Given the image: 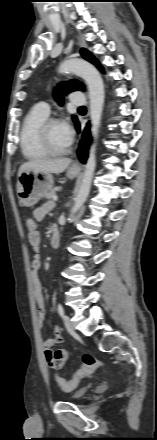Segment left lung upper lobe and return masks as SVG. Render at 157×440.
Segmentation results:
<instances>
[{
	"mask_svg": "<svg viewBox=\"0 0 157 440\" xmlns=\"http://www.w3.org/2000/svg\"><path fill=\"white\" fill-rule=\"evenodd\" d=\"M80 53L84 59L94 64L101 72H104L98 60L88 50L82 48ZM83 88L84 86L81 82L77 80H71L70 82L59 84L58 87L54 90V96L61 105L63 103V94H67L75 90H83ZM73 120L77 125L78 121L76 116H73Z\"/></svg>",
	"mask_w": 157,
	"mask_h": 440,
	"instance_id": "obj_1",
	"label": "left lung upper lobe"
}]
</instances>
